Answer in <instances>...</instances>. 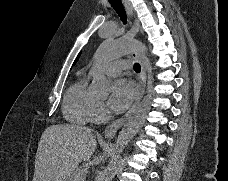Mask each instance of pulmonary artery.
Returning a JSON list of instances; mask_svg holds the SVG:
<instances>
[{"mask_svg": "<svg viewBox=\"0 0 228 181\" xmlns=\"http://www.w3.org/2000/svg\"><path fill=\"white\" fill-rule=\"evenodd\" d=\"M121 60H127V59H121ZM104 69H106V70H121V65H107L104 67ZM128 69H130V68H128Z\"/></svg>", "mask_w": 228, "mask_h": 181, "instance_id": "1", "label": "pulmonary artery"}]
</instances>
